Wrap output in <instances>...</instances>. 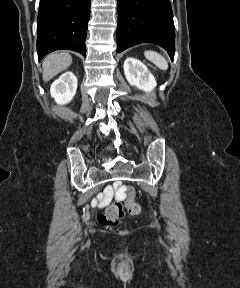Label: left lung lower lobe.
<instances>
[{"instance_id": "obj_1", "label": "left lung lower lobe", "mask_w": 240, "mask_h": 288, "mask_svg": "<svg viewBox=\"0 0 240 288\" xmlns=\"http://www.w3.org/2000/svg\"><path fill=\"white\" fill-rule=\"evenodd\" d=\"M117 51L154 43L175 53V27L169 0H117Z\"/></svg>"}]
</instances>
